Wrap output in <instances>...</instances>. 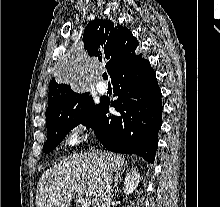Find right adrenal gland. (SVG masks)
Returning <instances> with one entry per match:
<instances>
[{
    "mask_svg": "<svg viewBox=\"0 0 220 207\" xmlns=\"http://www.w3.org/2000/svg\"><path fill=\"white\" fill-rule=\"evenodd\" d=\"M124 169L123 170H121V171H117L116 173H115V175H114V188H116L117 187V185H118V181L119 180H121V176H122V174L124 173Z\"/></svg>",
    "mask_w": 220,
    "mask_h": 207,
    "instance_id": "2a0ac1e0",
    "label": "right adrenal gland"
}]
</instances>
